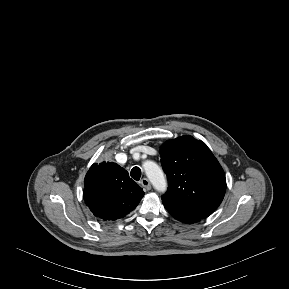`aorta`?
I'll return each mask as SVG.
<instances>
[{
  "mask_svg": "<svg viewBox=\"0 0 289 289\" xmlns=\"http://www.w3.org/2000/svg\"><path fill=\"white\" fill-rule=\"evenodd\" d=\"M144 170L154 188L159 192H165L167 181L162 169L155 162L147 161L144 163Z\"/></svg>",
  "mask_w": 289,
  "mask_h": 289,
  "instance_id": "aorta-1",
  "label": "aorta"
}]
</instances>
